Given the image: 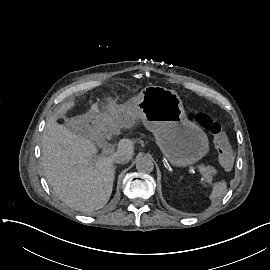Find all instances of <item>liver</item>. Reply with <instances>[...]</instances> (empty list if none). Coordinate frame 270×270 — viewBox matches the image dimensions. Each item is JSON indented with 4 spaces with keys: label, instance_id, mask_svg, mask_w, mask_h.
I'll return each mask as SVG.
<instances>
[{
    "label": "liver",
    "instance_id": "1",
    "mask_svg": "<svg viewBox=\"0 0 270 270\" xmlns=\"http://www.w3.org/2000/svg\"><path fill=\"white\" fill-rule=\"evenodd\" d=\"M134 106V100L130 103ZM74 102L63 104L59 113H65ZM140 112L130 108L122 120L113 122L111 130L131 128ZM118 152L130 159L134 154L133 144L128 140L118 143ZM91 139L75 134L51 117L43 131L42 165L48 183L55 195L66 205L91 212L103 208L112 193L114 169L111 156H98Z\"/></svg>",
    "mask_w": 270,
    "mask_h": 270
}]
</instances>
